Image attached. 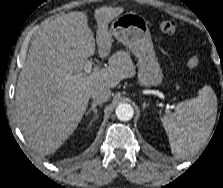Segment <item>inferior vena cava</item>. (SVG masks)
Instances as JSON below:
<instances>
[{
    "label": "inferior vena cava",
    "mask_w": 223,
    "mask_h": 188,
    "mask_svg": "<svg viewBox=\"0 0 223 188\" xmlns=\"http://www.w3.org/2000/svg\"><path fill=\"white\" fill-rule=\"evenodd\" d=\"M110 96L111 90L106 86H100L91 91V98L98 103L107 101Z\"/></svg>",
    "instance_id": "602c4592"
}]
</instances>
